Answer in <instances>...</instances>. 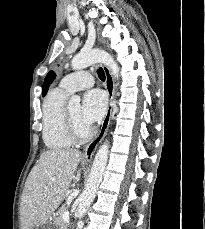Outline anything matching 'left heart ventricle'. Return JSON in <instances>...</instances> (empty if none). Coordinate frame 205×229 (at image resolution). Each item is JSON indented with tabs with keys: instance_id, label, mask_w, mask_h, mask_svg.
<instances>
[{
	"instance_id": "obj_1",
	"label": "left heart ventricle",
	"mask_w": 205,
	"mask_h": 229,
	"mask_svg": "<svg viewBox=\"0 0 205 229\" xmlns=\"http://www.w3.org/2000/svg\"><path fill=\"white\" fill-rule=\"evenodd\" d=\"M69 110L79 130L85 132L89 126L81 119V106L79 104L70 105Z\"/></svg>"
}]
</instances>
